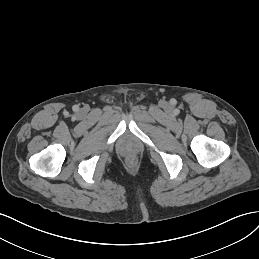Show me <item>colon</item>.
I'll return each mask as SVG.
<instances>
[{
  "mask_svg": "<svg viewBox=\"0 0 259 259\" xmlns=\"http://www.w3.org/2000/svg\"><path fill=\"white\" fill-rule=\"evenodd\" d=\"M129 162H130V163H133V162H134V158H133V157H130V158H129Z\"/></svg>",
  "mask_w": 259,
  "mask_h": 259,
  "instance_id": "obj_1",
  "label": "colon"
}]
</instances>
